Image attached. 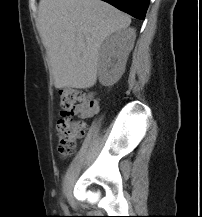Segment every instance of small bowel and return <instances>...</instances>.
I'll list each match as a JSON object with an SVG mask.
<instances>
[{"mask_svg": "<svg viewBox=\"0 0 202 217\" xmlns=\"http://www.w3.org/2000/svg\"><path fill=\"white\" fill-rule=\"evenodd\" d=\"M99 111V103L96 99H92L91 103L87 105L78 106L74 109V114L86 119Z\"/></svg>", "mask_w": 202, "mask_h": 217, "instance_id": "1", "label": "small bowel"}]
</instances>
